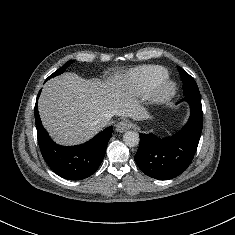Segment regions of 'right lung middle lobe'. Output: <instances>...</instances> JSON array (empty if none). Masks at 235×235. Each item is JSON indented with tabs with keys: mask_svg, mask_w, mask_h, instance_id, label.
Returning a JSON list of instances; mask_svg holds the SVG:
<instances>
[{
	"mask_svg": "<svg viewBox=\"0 0 235 235\" xmlns=\"http://www.w3.org/2000/svg\"><path fill=\"white\" fill-rule=\"evenodd\" d=\"M73 62V60L68 61L64 66H62L61 68H59L57 71H55L53 74H51L46 80L55 77L57 75H60L61 73H63L65 71V69Z\"/></svg>",
	"mask_w": 235,
	"mask_h": 235,
	"instance_id": "1",
	"label": "right lung middle lobe"
}]
</instances>
